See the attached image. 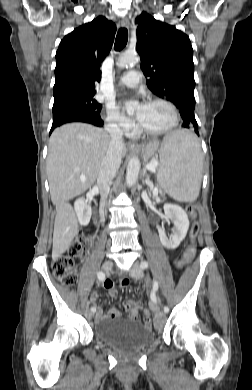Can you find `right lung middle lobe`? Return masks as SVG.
<instances>
[{
	"label": "right lung middle lobe",
	"instance_id": "dd1d6c3e",
	"mask_svg": "<svg viewBox=\"0 0 252 390\" xmlns=\"http://www.w3.org/2000/svg\"><path fill=\"white\" fill-rule=\"evenodd\" d=\"M93 97L94 95H77L54 101L53 117L74 113L101 119L102 105Z\"/></svg>",
	"mask_w": 252,
	"mask_h": 390
}]
</instances>
